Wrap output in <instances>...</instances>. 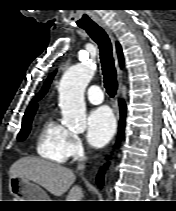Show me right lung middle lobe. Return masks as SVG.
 <instances>
[{
  "label": "right lung middle lobe",
  "mask_w": 176,
  "mask_h": 211,
  "mask_svg": "<svg viewBox=\"0 0 176 211\" xmlns=\"http://www.w3.org/2000/svg\"><path fill=\"white\" fill-rule=\"evenodd\" d=\"M33 116H34V113L23 117L22 128L17 137L19 141H23L29 134Z\"/></svg>",
  "instance_id": "dd1d6c3e"
}]
</instances>
